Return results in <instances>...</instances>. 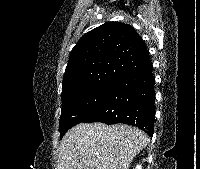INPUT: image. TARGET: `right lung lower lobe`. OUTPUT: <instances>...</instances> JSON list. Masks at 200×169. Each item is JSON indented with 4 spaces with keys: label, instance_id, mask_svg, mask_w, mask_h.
Returning a JSON list of instances; mask_svg holds the SVG:
<instances>
[{
    "label": "right lung lower lobe",
    "instance_id": "right-lung-lower-lobe-1",
    "mask_svg": "<svg viewBox=\"0 0 200 169\" xmlns=\"http://www.w3.org/2000/svg\"><path fill=\"white\" fill-rule=\"evenodd\" d=\"M152 66L118 79L102 104L82 122L136 126L152 137L155 117Z\"/></svg>",
    "mask_w": 200,
    "mask_h": 169
}]
</instances>
